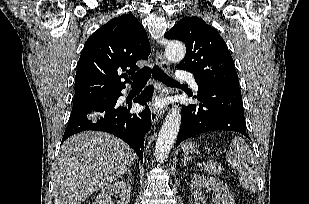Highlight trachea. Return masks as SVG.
Instances as JSON below:
<instances>
[{
	"label": "trachea",
	"mask_w": 309,
	"mask_h": 204,
	"mask_svg": "<svg viewBox=\"0 0 309 204\" xmlns=\"http://www.w3.org/2000/svg\"><path fill=\"white\" fill-rule=\"evenodd\" d=\"M151 75L162 81L165 84H177L178 82L168 75H166L158 66H154L152 69L149 67H144L143 69L139 70L136 74L132 75L131 78L134 81V85H145Z\"/></svg>",
	"instance_id": "3493384b"
}]
</instances>
